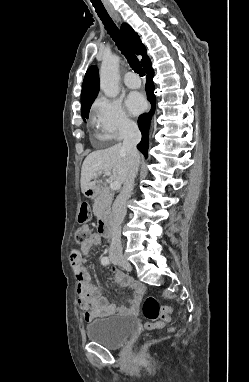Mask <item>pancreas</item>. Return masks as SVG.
<instances>
[{
  "instance_id": "cf45deb5",
  "label": "pancreas",
  "mask_w": 249,
  "mask_h": 382,
  "mask_svg": "<svg viewBox=\"0 0 249 382\" xmlns=\"http://www.w3.org/2000/svg\"><path fill=\"white\" fill-rule=\"evenodd\" d=\"M113 200V194L108 187L98 189L97 195L94 199L93 212L97 218H102L108 214Z\"/></svg>"
}]
</instances>
